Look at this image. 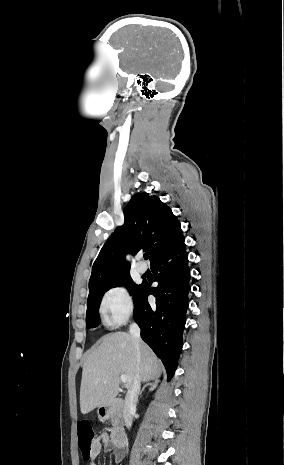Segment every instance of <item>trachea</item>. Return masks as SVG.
Masks as SVG:
<instances>
[{
    "label": "trachea",
    "mask_w": 284,
    "mask_h": 465,
    "mask_svg": "<svg viewBox=\"0 0 284 465\" xmlns=\"http://www.w3.org/2000/svg\"><path fill=\"white\" fill-rule=\"evenodd\" d=\"M148 258H149V255H148V254H144V259H145V260H148Z\"/></svg>",
    "instance_id": "3493384b"
}]
</instances>
